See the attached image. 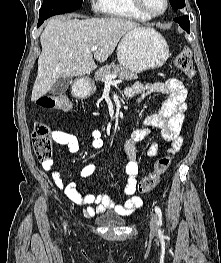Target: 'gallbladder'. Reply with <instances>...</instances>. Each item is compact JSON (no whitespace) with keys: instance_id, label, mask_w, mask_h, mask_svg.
<instances>
[{"instance_id":"obj_1","label":"gallbladder","mask_w":221,"mask_h":263,"mask_svg":"<svg viewBox=\"0 0 221 263\" xmlns=\"http://www.w3.org/2000/svg\"><path fill=\"white\" fill-rule=\"evenodd\" d=\"M71 84H72L71 77H62L60 79H57L56 82L51 87L50 93L55 96L61 95L67 91V89Z\"/></svg>"}]
</instances>
